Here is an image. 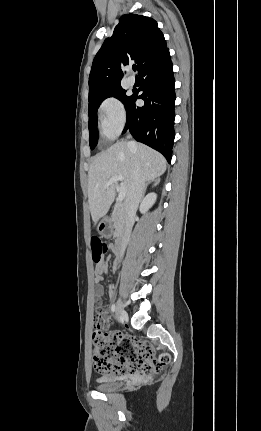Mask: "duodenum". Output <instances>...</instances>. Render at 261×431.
<instances>
[{
	"label": "duodenum",
	"mask_w": 261,
	"mask_h": 431,
	"mask_svg": "<svg viewBox=\"0 0 261 431\" xmlns=\"http://www.w3.org/2000/svg\"><path fill=\"white\" fill-rule=\"evenodd\" d=\"M122 240L119 239L117 243L113 246L112 250L115 254L119 255L121 253Z\"/></svg>",
	"instance_id": "410a0bca"
}]
</instances>
